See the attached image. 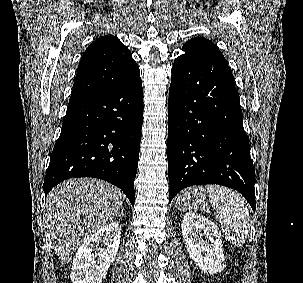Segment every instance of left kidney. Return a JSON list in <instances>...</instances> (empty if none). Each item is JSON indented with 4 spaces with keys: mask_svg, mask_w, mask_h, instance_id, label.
I'll return each mask as SVG.
<instances>
[{
    "mask_svg": "<svg viewBox=\"0 0 303 283\" xmlns=\"http://www.w3.org/2000/svg\"><path fill=\"white\" fill-rule=\"evenodd\" d=\"M182 235L191 259L205 273L221 272L225 257L221 232L207 218L187 213L182 221Z\"/></svg>",
    "mask_w": 303,
    "mask_h": 283,
    "instance_id": "1",
    "label": "left kidney"
}]
</instances>
